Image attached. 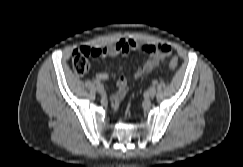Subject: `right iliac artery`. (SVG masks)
Returning <instances> with one entry per match:
<instances>
[{
	"mask_svg": "<svg viewBox=\"0 0 243 167\" xmlns=\"http://www.w3.org/2000/svg\"><path fill=\"white\" fill-rule=\"evenodd\" d=\"M95 84H96L97 86L101 85V83H100L99 80H95Z\"/></svg>",
	"mask_w": 243,
	"mask_h": 167,
	"instance_id": "1",
	"label": "right iliac artery"
}]
</instances>
